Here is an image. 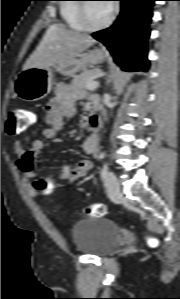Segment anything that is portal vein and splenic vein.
<instances>
[{
	"mask_svg": "<svg viewBox=\"0 0 180 299\" xmlns=\"http://www.w3.org/2000/svg\"><path fill=\"white\" fill-rule=\"evenodd\" d=\"M98 86H99V82L98 81H93V82L89 83L86 86V89H88V90H95Z\"/></svg>",
	"mask_w": 180,
	"mask_h": 299,
	"instance_id": "portal-vein-and-splenic-vein-1",
	"label": "portal vein and splenic vein"
}]
</instances>
